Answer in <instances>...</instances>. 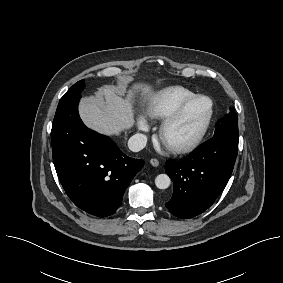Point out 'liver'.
<instances>
[{"label": "liver", "mask_w": 283, "mask_h": 283, "mask_svg": "<svg viewBox=\"0 0 283 283\" xmlns=\"http://www.w3.org/2000/svg\"><path fill=\"white\" fill-rule=\"evenodd\" d=\"M142 94L151 97V88L146 84L134 85ZM123 99L112 86L98 89L95 96L84 97L79 104V113L85 125L108 136H118L134 125L131 96Z\"/></svg>", "instance_id": "1"}]
</instances>
